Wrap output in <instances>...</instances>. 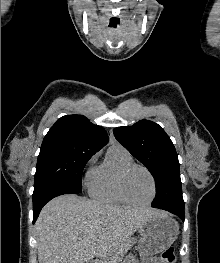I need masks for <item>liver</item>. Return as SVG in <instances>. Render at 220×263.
<instances>
[{
  "mask_svg": "<svg viewBox=\"0 0 220 263\" xmlns=\"http://www.w3.org/2000/svg\"><path fill=\"white\" fill-rule=\"evenodd\" d=\"M149 207L113 206L73 194L48 202L36 221L39 263H119L130 237L159 214Z\"/></svg>",
  "mask_w": 220,
  "mask_h": 263,
  "instance_id": "liver-1",
  "label": "liver"
}]
</instances>
